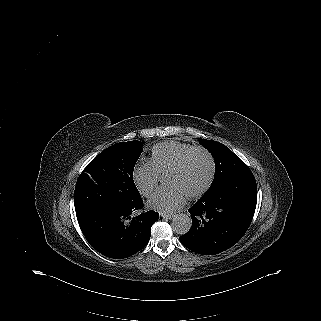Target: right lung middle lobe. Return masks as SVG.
I'll use <instances>...</instances> for the list:
<instances>
[{
  "label": "right lung middle lobe",
  "instance_id": "obj_1",
  "mask_svg": "<svg viewBox=\"0 0 321 321\" xmlns=\"http://www.w3.org/2000/svg\"><path fill=\"white\" fill-rule=\"evenodd\" d=\"M143 142L114 144L97 155L80 174L74 191L76 212L109 205H132L141 199L133 181Z\"/></svg>",
  "mask_w": 321,
  "mask_h": 321
}]
</instances>
